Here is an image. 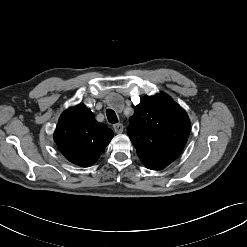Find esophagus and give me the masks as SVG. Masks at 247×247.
Listing matches in <instances>:
<instances>
[{"label":"esophagus","mask_w":247,"mask_h":247,"mask_svg":"<svg viewBox=\"0 0 247 247\" xmlns=\"http://www.w3.org/2000/svg\"><path fill=\"white\" fill-rule=\"evenodd\" d=\"M113 128H114L115 133L120 134L123 132L124 126L122 123H117L113 125Z\"/></svg>","instance_id":"34e87169"}]
</instances>
